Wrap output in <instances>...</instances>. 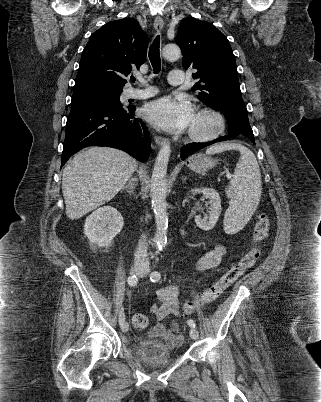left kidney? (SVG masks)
<instances>
[{
    "label": "left kidney",
    "instance_id": "5707ae66",
    "mask_svg": "<svg viewBox=\"0 0 321 402\" xmlns=\"http://www.w3.org/2000/svg\"><path fill=\"white\" fill-rule=\"evenodd\" d=\"M203 193L206 199L210 201V211L207 216L202 218L201 216H195L196 225L205 231L212 229L217 223L221 214V199L218 192L213 188H195L192 190V194Z\"/></svg>",
    "mask_w": 321,
    "mask_h": 402
}]
</instances>
